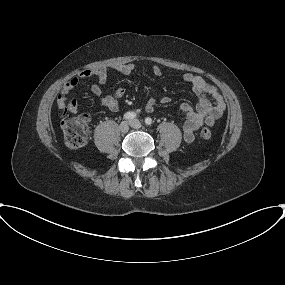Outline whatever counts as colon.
<instances>
[{
  "mask_svg": "<svg viewBox=\"0 0 285 285\" xmlns=\"http://www.w3.org/2000/svg\"><path fill=\"white\" fill-rule=\"evenodd\" d=\"M89 119L86 115L77 117H65L61 121L65 145L69 149H80L86 146L89 139ZM212 136L210 129L204 127L200 131L203 140H209Z\"/></svg>",
  "mask_w": 285,
  "mask_h": 285,
  "instance_id": "1",
  "label": "colon"
}]
</instances>
